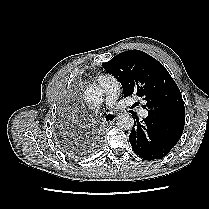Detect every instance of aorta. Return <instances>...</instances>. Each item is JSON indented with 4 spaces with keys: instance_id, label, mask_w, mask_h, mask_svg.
Segmentation results:
<instances>
[{
    "instance_id": "1",
    "label": "aorta",
    "mask_w": 209,
    "mask_h": 209,
    "mask_svg": "<svg viewBox=\"0 0 209 209\" xmlns=\"http://www.w3.org/2000/svg\"><path fill=\"white\" fill-rule=\"evenodd\" d=\"M104 91L98 86H90L85 91V100L89 104L98 105L103 102ZM116 124L125 130L133 127L134 120L128 113L118 115Z\"/></svg>"
}]
</instances>
